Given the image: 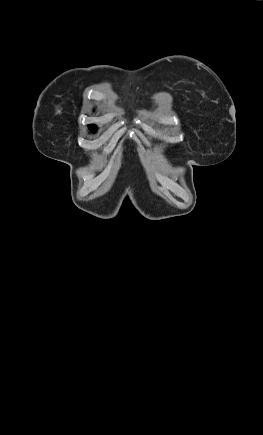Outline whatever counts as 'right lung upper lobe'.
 <instances>
[{
    "label": "right lung upper lobe",
    "instance_id": "1",
    "mask_svg": "<svg viewBox=\"0 0 263 435\" xmlns=\"http://www.w3.org/2000/svg\"><path fill=\"white\" fill-rule=\"evenodd\" d=\"M90 128H95V126H94V125H92V126H90Z\"/></svg>",
    "mask_w": 263,
    "mask_h": 435
}]
</instances>
